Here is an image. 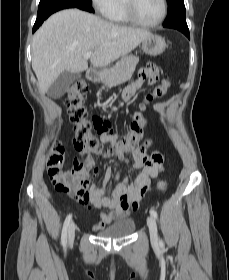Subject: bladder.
<instances>
[{"mask_svg":"<svg viewBox=\"0 0 229 280\" xmlns=\"http://www.w3.org/2000/svg\"><path fill=\"white\" fill-rule=\"evenodd\" d=\"M136 224L133 219H123L113 224L109 228L98 231L97 235L105 238H119L131 235Z\"/></svg>","mask_w":229,"mask_h":280,"instance_id":"31cf9c89","label":"bladder"}]
</instances>
